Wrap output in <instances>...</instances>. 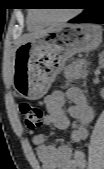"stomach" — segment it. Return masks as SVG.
Listing matches in <instances>:
<instances>
[{"label": "stomach", "instance_id": "0dacf381", "mask_svg": "<svg viewBox=\"0 0 104 169\" xmlns=\"http://www.w3.org/2000/svg\"><path fill=\"white\" fill-rule=\"evenodd\" d=\"M101 41L99 27L68 24L21 44L16 49L12 71L14 90L30 100L43 97L70 57L95 49Z\"/></svg>", "mask_w": 104, "mask_h": 169}]
</instances>
